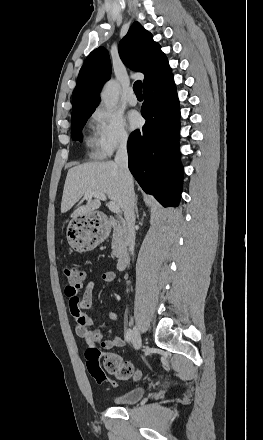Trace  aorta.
Masks as SVG:
<instances>
[{
  "label": "aorta",
  "mask_w": 263,
  "mask_h": 440,
  "mask_svg": "<svg viewBox=\"0 0 263 440\" xmlns=\"http://www.w3.org/2000/svg\"><path fill=\"white\" fill-rule=\"evenodd\" d=\"M101 100L107 108H113L119 100V84L115 80L108 81L102 92Z\"/></svg>",
  "instance_id": "1"
}]
</instances>
